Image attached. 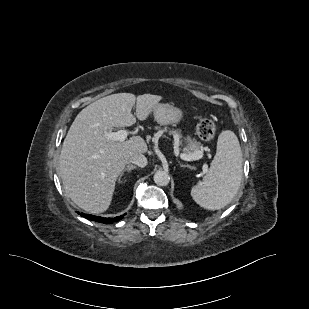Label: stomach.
<instances>
[{
    "instance_id": "stomach-1",
    "label": "stomach",
    "mask_w": 309,
    "mask_h": 309,
    "mask_svg": "<svg viewBox=\"0 0 309 309\" xmlns=\"http://www.w3.org/2000/svg\"><path fill=\"white\" fill-rule=\"evenodd\" d=\"M154 118L160 125H177L183 119V111L169 104H158L154 109Z\"/></svg>"
}]
</instances>
